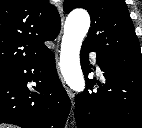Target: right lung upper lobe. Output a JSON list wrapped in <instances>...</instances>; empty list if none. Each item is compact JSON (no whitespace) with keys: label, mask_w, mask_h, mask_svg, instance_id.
Segmentation results:
<instances>
[{"label":"right lung upper lobe","mask_w":142,"mask_h":128,"mask_svg":"<svg viewBox=\"0 0 142 128\" xmlns=\"http://www.w3.org/2000/svg\"><path fill=\"white\" fill-rule=\"evenodd\" d=\"M60 28L48 0H0V79L43 54Z\"/></svg>","instance_id":"obj_1"}]
</instances>
